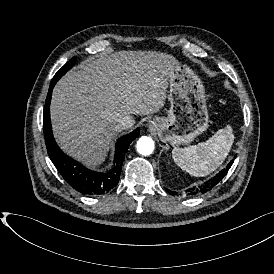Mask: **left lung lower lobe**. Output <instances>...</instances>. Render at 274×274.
I'll use <instances>...</instances> for the list:
<instances>
[{"instance_id":"1","label":"left lung lower lobe","mask_w":274,"mask_h":274,"mask_svg":"<svg viewBox=\"0 0 274 274\" xmlns=\"http://www.w3.org/2000/svg\"><path fill=\"white\" fill-rule=\"evenodd\" d=\"M233 161H230L229 164L227 165L226 169H223L220 171L216 176H214L212 179H210L208 182L205 184L199 186L198 188L193 187L191 190L193 191V194L197 193H205L208 190H211L213 186L217 185L223 177L227 174V170L230 169L231 165L233 164ZM166 189V188H165ZM168 192H171L170 190L166 189Z\"/></svg>"}]
</instances>
